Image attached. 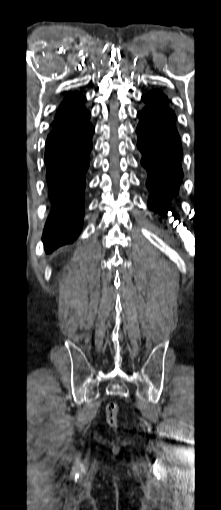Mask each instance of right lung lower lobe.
I'll use <instances>...</instances> for the list:
<instances>
[{
    "mask_svg": "<svg viewBox=\"0 0 221 510\" xmlns=\"http://www.w3.org/2000/svg\"><path fill=\"white\" fill-rule=\"evenodd\" d=\"M93 133L88 119L71 132L47 137L46 181L52 207L42 238L47 253L71 243L81 231Z\"/></svg>",
    "mask_w": 221,
    "mask_h": 510,
    "instance_id": "obj_1",
    "label": "right lung lower lobe"
}]
</instances>
